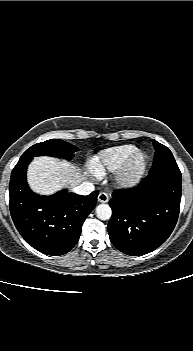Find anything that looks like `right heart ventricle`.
<instances>
[{"mask_svg": "<svg viewBox=\"0 0 193 351\" xmlns=\"http://www.w3.org/2000/svg\"><path fill=\"white\" fill-rule=\"evenodd\" d=\"M130 147H121L112 149L104 153L99 161V165L102 167L117 165L120 161L131 152Z\"/></svg>", "mask_w": 193, "mask_h": 351, "instance_id": "e07e8e85", "label": "right heart ventricle"}]
</instances>
